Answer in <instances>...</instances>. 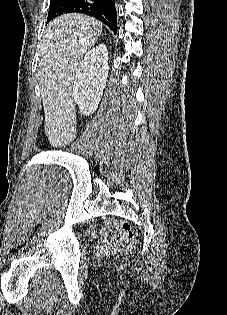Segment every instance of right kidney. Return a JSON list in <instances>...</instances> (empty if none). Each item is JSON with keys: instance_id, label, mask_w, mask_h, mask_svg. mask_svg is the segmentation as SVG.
Returning a JSON list of instances; mask_svg holds the SVG:
<instances>
[{"instance_id": "right-kidney-1", "label": "right kidney", "mask_w": 227, "mask_h": 315, "mask_svg": "<svg viewBox=\"0 0 227 315\" xmlns=\"http://www.w3.org/2000/svg\"><path fill=\"white\" fill-rule=\"evenodd\" d=\"M108 51L104 44L89 50L76 71L73 98L82 114L98 108L108 77Z\"/></svg>"}]
</instances>
